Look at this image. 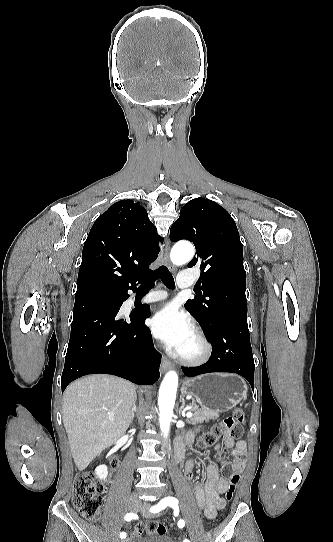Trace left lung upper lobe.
Returning a JSON list of instances; mask_svg holds the SVG:
<instances>
[{"mask_svg": "<svg viewBox=\"0 0 333 542\" xmlns=\"http://www.w3.org/2000/svg\"><path fill=\"white\" fill-rule=\"evenodd\" d=\"M181 239L196 248L197 256L187 267L201 269L197 295L185 303L187 311L207 333L224 317L247 318L243 246L230 214L210 199L190 200L170 229L171 241Z\"/></svg>", "mask_w": 333, "mask_h": 542, "instance_id": "5c2ea615", "label": "left lung upper lobe"}]
</instances>
